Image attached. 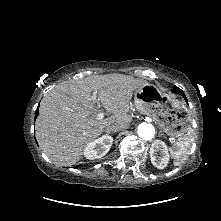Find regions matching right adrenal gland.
Returning <instances> with one entry per match:
<instances>
[{"mask_svg": "<svg viewBox=\"0 0 221 221\" xmlns=\"http://www.w3.org/2000/svg\"><path fill=\"white\" fill-rule=\"evenodd\" d=\"M105 132H106L107 134H110V132H109V131H107V130H105Z\"/></svg>", "mask_w": 221, "mask_h": 221, "instance_id": "2a0ac1e0", "label": "right adrenal gland"}]
</instances>
